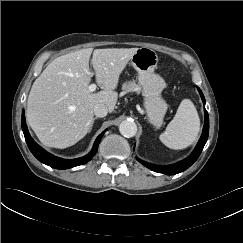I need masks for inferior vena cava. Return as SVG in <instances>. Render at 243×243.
Here are the masks:
<instances>
[{"label":"inferior vena cava","instance_id":"1","mask_svg":"<svg viewBox=\"0 0 243 243\" xmlns=\"http://www.w3.org/2000/svg\"><path fill=\"white\" fill-rule=\"evenodd\" d=\"M108 113V108L104 104H97L94 106V114L97 117H105Z\"/></svg>","mask_w":243,"mask_h":243}]
</instances>
